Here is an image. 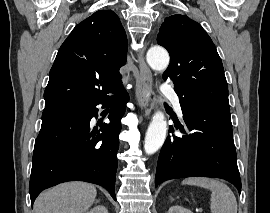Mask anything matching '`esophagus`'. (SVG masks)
<instances>
[{"instance_id":"1","label":"esophagus","mask_w":270,"mask_h":213,"mask_svg":"<svg viewBox=\"0 0 270 213\" xmlns=\"http://www.w3.org/2000/svg\"><path fill=\"white\" fill-rule=\"evenodd\" d=\"M144 52L145 47L137 52L140 76L136 89V99L145 112L148 113L150 111L149 97L152 89V74L149 67L145 63Z\"/></svg>"}]
</instances>
